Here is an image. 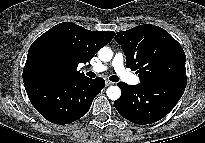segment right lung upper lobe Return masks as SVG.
I'll list each match as a JSON object with an SVG mask.
<instances>
[{
  "label": "right lung upper lobe",
  "instance_id": "right-lung-upper-lobe-1",
  "mask_svg": "<svg viewBox=\"0 0 205 143\" xmlns=\"http://www.w3.org/2000/svg\"><path fill=\"white\" fill-rule=\"evenodd\" d=\"M113 37L112 31H90L71 22L59 23L32 43L23 75L46 71L68 78H84L86 76L77 71L78 64L90 61ZM48 50L54 51L58 57L52 66L42 62V56Z\"/></svg>",
  "mask_w": 205,
  "mask_h": 143
}]
</instances>
